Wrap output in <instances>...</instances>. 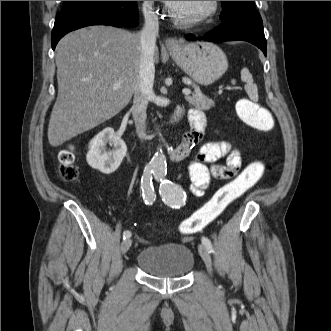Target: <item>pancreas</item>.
<instances>
[{
    "mask_svg": "<svg viewBox=\"0 0 331 331\" xmlns=\"http://www.w3.org/2000/svg\"><path fill=\"white\" fill-rule=\"evenodd\" d=\"M186 100L190 105L202 110H208L214 106V101L201 92H195L192 96H187Z\"/></svg>",
    "mask_w": 331,
    "mask_h": 331,
    "instance_id": "cf45deb5",
    "label": "pancreas"
}]
</instances>
